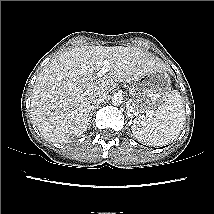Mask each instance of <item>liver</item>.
Masks as SVG:
<instances>
[{
    "label": "liver",
    "mask_w": 214,
    "mask_h": 214,
    "mask_svg": "<svg viewBox=\"0 0 214 214\" xmlns=\"http://www.w3.org/2000/svg\"><path fill=\"white\" fill-rule=\"evenodd\" d=\"M104 60L109 61L110 71L97 77ZM162 67V61L138 47L82 46L63 52L36 79L32 119L45 139L67 143L86 131L93 112V92H110L119 82L136 81Z\"/></svg>",
    "instance_id": "1"
}]
</instances>
